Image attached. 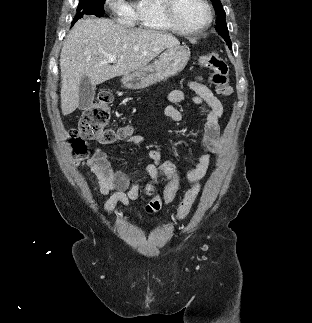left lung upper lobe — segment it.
<instances>
[{
	"label": "left lung upper lobe",
	"mask_w": 312,
	"mask_h": 323,
	"mask_svg": "<svg viewBox=\"0 0 312 323\" xmlns=\"http://www.w3.org/2000/svg\"><path fill=\"white\" fill-rule=\"evenodd\" d=\"M211 1L216 11V14L218 16L215 29L219 33V35H221L224 38V40L227 42L229 48H231V40L229 37L227 24L225 21V11L223 9L221 1L220 0H211Z\"/></svg>",
	"instance_id": "obj_1"
}]
</instances>
